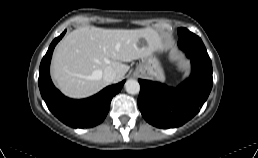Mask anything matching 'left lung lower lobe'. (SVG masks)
I'll list each match as a JSON object with an SVG mask.
<instances>
[{
    "label": "left lung lower lobe",
    "instance_id": "obj_1",
    "mask_svg": "<svg viewBox=\"0 0 258 158\" xmlns=\"http://www.w3.org/2000/svg\"><path fill=\"white\" fill-rule=\"evenodd\" d=\"M178 45L191 59L192 74L177 88L139 80L138 107L144 119L158 128L183 125L207 100L212 89V63L202 40L190 31L180 36Z\"/></svg>",
    "mask_w": 258,
    "mask_h": 158
}]
</instances>
